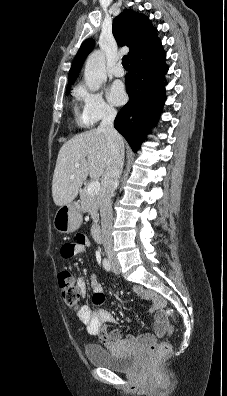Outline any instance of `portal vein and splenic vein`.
I'll use <instances>...</instances> for the list:
<instances>
[{
	"label": "portal vein and splenic vein",
	"instance_id": "1",
	"mask_svg": "<svg viewBox=\"0 0 227 396\" xmlns=\"http://www.w3.org/2000/svg\"><path fill=\"white\" fill-rule=\"evenodd\" d=\"M79 166H80L79 163H76V164H75V167H79ZM72 178H73V177H72ZM99 190H100V183H99L98 181H92V182L88 185V187H87V192H88L89 194L98 193Z\"/></svg>",
	"mask_w": 227,
	"mask_h": 396
}]
</instances>
